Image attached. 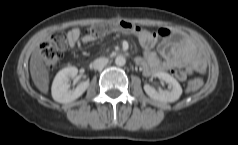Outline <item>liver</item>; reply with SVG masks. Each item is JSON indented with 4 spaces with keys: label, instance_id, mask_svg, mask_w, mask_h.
Listing matches in <instances>:
<instances>
[{
    "label": "liver",
    "instance_id": "1",
    "mask_svg": "<svg viewBox=\"0 0 238 145\" xmlns=\"http://www.w3.org/2000/svg\"><path fill=\"white\" fill-rule=\"evenodd\" d=\"M30 74L35 86L44 94L49 90V71L42 58L41 49L36 47L30 58Z\"/></svg>",
    "mask_w": 238,
    "mask_h": 145
}]
</instances>
